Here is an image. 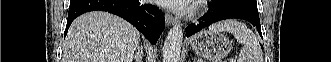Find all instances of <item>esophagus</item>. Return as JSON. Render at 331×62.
I'll return each mask as SVG.
<instances>
[{
    "mask_svg": "<svg viewBox=\"0 0 331 62\" xmlns=\"http://www.w3.org/2000/svg\"><path fill=\"white\" fill-rule=\"evenodd\" d=\"M165 20L167 25H174L177 24L178 22L177 18L169 13H165Z\"/></svg>",
    "mask_w": 331,
    "mask_h": 62,
    "instance_id": "1",
    "label": "esophagus"
}]
</instances>
